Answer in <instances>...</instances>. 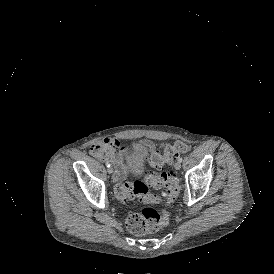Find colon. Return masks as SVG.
<instances>
[{
	"label": "colon",
	"mask_w": 274,
	"mask_h": 274,
	"mask_svg": "<svg viewBox=\"0 0 274 274\" xmlns=\"http://www.w3.org/2000/svg\"><path fill=\"white\" fill-rule=\"evenodd\" d=\"M187 143L184 140L169 141L161 147V150L149 161L150 171L144 179L120 184L116 188V197L122 202L135 195L141 198L148 197L149 187L160 189L168 201L175 199L179 185L173 172L165 171V166L170 164L173 154L184 153L187 150ZM103 152V151H90ZM169 222L167 213L151 207H146L140 212L129 215L125 220L126 229L136 235L143 236L158 231Z\"/></svg>",
	"instance_id": "1"
}]
</instances>
